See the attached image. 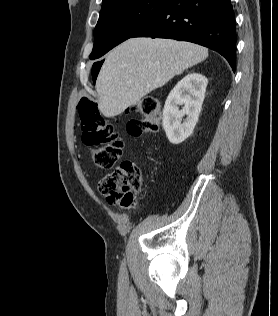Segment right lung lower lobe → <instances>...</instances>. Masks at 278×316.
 Here are the masks:
<instances>
[{
  "mask_svg": "<svg viewBox=\"0 0 278 316\" xmlns=\"http://www.w3.org/2000/svg\"><path fill=\"white\" fill-rule=\"evenodd\" d=\"M132 37L184 40L225 57L235 71L236 29L230 0H166ZM96 75H93L95 81Z\"/></svg>",
  "mask_w": 278,
  "mask_h": 316,
  "instance_id": "98d812e1",
  "label": "right lung lower lobe"
}]
</instances>
